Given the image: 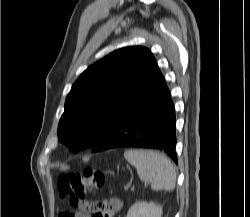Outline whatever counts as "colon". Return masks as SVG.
Listing matches in <instances>:
<instances>
[{"mask_svg": "<svg viewBox=\"0 0 250 217\" xmlns=\"http://www.w3.org/2000/svg\"><path fill=\"white\" fill-rule=\"evenodd\" d=\"M105 183L103 173L92 167H86L81 171L61 174L57 179V188L63 197L69 199V203L75 211L63 212L59 217H72L78 212L89 217H102V205L100 202H87L83 198L91 192L100 189Z\"/></svg>", "mask_w": 250, "mask_h": 217, "instance_id": "obj_1", "label": "colon"}]
</instances>
